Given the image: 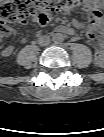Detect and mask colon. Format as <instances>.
Instances as JSON below:
<instances>
[{"mask_svg":"<svg viewBox=\"0 0 104 137\" xmlns=\"http://www.w3.org/2000/svg\"><path fill=\"white\" fill-rule=\"evenodd\" d=\"M82 4H90L95 8L104 5L103 0H5L0 6V34L11 31L13 23L30 16L47 22L54 12L69 10Z\"/></svg>","mask_w":104,"mask_h":137,"instance_id":"5ec220e1","label":"colon"}]
</instances>
